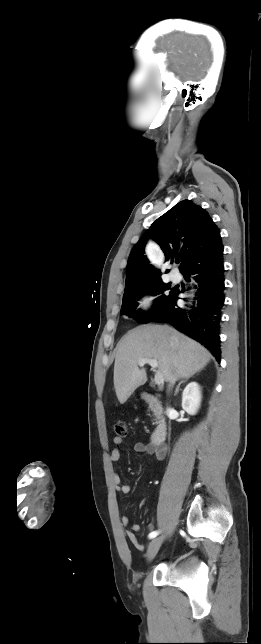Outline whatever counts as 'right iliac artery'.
Instances as JSON below:
<instances>
[{"label":"right iliac artery","mask_w":261,"mask_h":644,"mask_svg":"<svg viewBox=\"0 0 261 644\" xmlns=\"http://www.w3.org/2000/svg\"><path fill=\"white\" fill-rule=\"evenodd\" d=\"M158 534H159V531H153V532H151V533L149 534V538H150V539H153V538H155Z\"/></svg>","instance_id":"82829eb1"}]
</instances>
